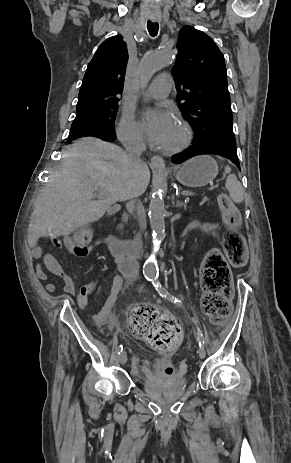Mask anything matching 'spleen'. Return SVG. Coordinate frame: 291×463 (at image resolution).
I'll list each match as a JSON object with an SVG mask.
<instances>
[{
	"label": "spleen",
	"mask_w": 291,
	"mask_h": 463,
	"mask_svg": "<svg viewBox=\"0 0 291 463\" xmlns=\"http://www.w3.org/2000/svg\"><path fill=\"white\" fill-rule=\"evenodd\" d=\"M231 168L229 166L225 167V173L228 174L225 187L229 192L231 199L235 203H241L244 199V189L241 183L238 181L236 175L230 174Z\"/></svg>",
	"instance_id": "spleen-1"
}]
</instances>
